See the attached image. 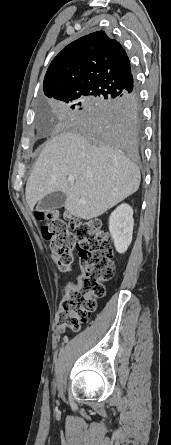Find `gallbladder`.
<instances>
[{
  "label": "gallbladder",
  "instance_id": "obj_1",
  "mask_svg": "<svg viewBox=\"0 0 171 445\" xmlns=\"http://www.w3.org/2000/svg\"><path fill=\"white\" fill-rule=\"evenodd\" d=\"M66 201L65 193L61 191H55L46 195L37 205L39 211L48 212L53 209L60 208L64 206Z\"/></svg>",
  "mask_w": 171,
  "mask_h": 445
}]
</instances>
